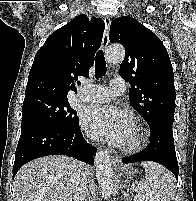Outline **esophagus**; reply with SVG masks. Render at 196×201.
<instances>
[{"label":"esophagus","mask_w":196,"mask_h":201,"mask_svg":"<svg viewBox=\"0 0 196 201\" xmlns=\"http://www.w3.org/2000/svg\"><path fill=\"white\" fill-rule=\"evenodd\" d=\"M104 22H105V30H104L103 39H102V49L106 51L109 44V30H110L111 20L108 16H106L104 18ZM119 162H120V158L118 156H114L113 163L119 164Z\"/></svg>","instance_id":"esophagus-1"}]
</instances>
